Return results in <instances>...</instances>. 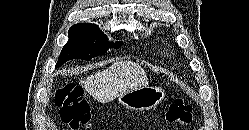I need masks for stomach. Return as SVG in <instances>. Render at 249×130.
<instances>
[{
    "instance_id": "1",
    "label": "stomach",
    "mask_w": 249,
    "mask_h": 130,
    "mask_svg": "<svg viewBox=\"0 0 249 130\" xmlns=\"http://www.w3.org/2000/svg\"><path fill=\"white\" fill-rule=\"evenodd\" d=\"M166 97L165 90L157 86H144L118 97V102L128 109L148 110L156 107Z\"/></svg>"
}]
</instances>
